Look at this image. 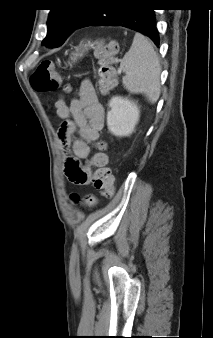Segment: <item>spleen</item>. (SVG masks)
I'll return each mask as SVG.
<instances>
[{
	"instance_id": "3e777b00",
	"label": "spleen",
	"mask_w": 213,
	"mask_h": 338,
	"mask_svg": "<svg viewBox=\"0 0 213 338\" xmlns=\"http://www.w3.org/2000/svg\"><path fill=\"white\" fill-rule=\"evenodd\" d=\"M120 68L125 73L124 87L133 94H144L155 103L160 96L161 66L153 45L140 33H136L129 51L124 55Z\"/></svg>"
}]
</instances>
